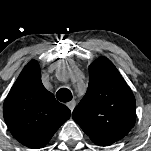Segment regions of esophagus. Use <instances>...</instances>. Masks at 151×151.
<instances>
[{
    "instance_id": "obj_1",
    "label": "esophagus",
    "mask_w": 151,
    "mask_h": 151,
    "mask_svg": "<svg viewBox=\"0 0 151 151\" xmlns=\"http://www.w3.org/2000/svg\"><path fill=\"white\" fill-rule=\"evenodd\" d=\"M67 106L71 111H73L76 106V101L75 100L70 101L69 103H67Z\"/></svg>"
}]
</instances>
